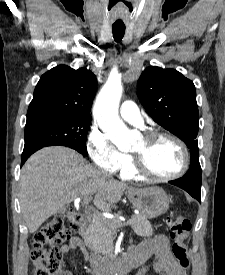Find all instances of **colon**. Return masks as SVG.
Listing matches in <instances>:
<instances>
[{
    "label": "colon",
    "instance_id": "1",
    "mask_svg": "<svg viewBox=\"0 0 225 275\" xmlns=\"http://www.w3.org/2000/svg\"><path fill=\"white\" fill-rule=\"evenodd\" d=\"M83 220L81 209L69 208L65 214L52 218L35 233L31 252L33 275H56L59 272L62 262L59 245L68 240L70 229H78ZM168 225L173 240V256L181 268L187 269L189 260L186 241L191 223L180 216H171Z\"/></svg>",
    "mask_w": 225,
    "mask_h": 275
}]
</instances>
